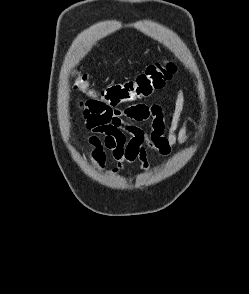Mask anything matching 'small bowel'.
<instances>
[{
    "label": "small bowel",
    "instance_id": "obj_1",
    "mask_svg": "<svg viewBox=\"0 0 249 294\" xmlns=\"http://www.w3.org/2000/svg\"><path fill=\"white\" fill-rule=\"evenodd\" d=\"M186 103L182 90L177 93L174 110L169 124L158 103L121 104L118 106L82 104V111L92 134L88 138L90 156L97 168H103L106 151L114 161V167L107 171L116 177L124 171V165L140 162V171L149 167L148 150L159 158H165L178 146L187 144L192 137L189 125L193 111L181 123L180 118ZM149 123L147 133L143 124Z\"/></svg>",
    "mask_w": 249,
    "mask_h": 294
}]
</instances>
